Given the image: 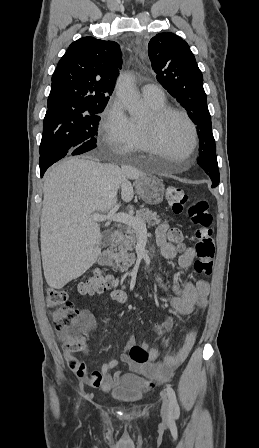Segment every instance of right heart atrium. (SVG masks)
<instances>
[{
	"label": "right heart atrium",
	"instance_id": "1",
	"mask_svg": "<svg viewBox=\"0 0 259 448\" xmlns=\"http://www.w3.org/2000/svg\"><path fill=\"white\" fill-rule=\"evenodd\" d=\"M98 143L104 152H113V157H127L134 152L135 133L118 98L112 99L98 128Z\"/></svg>",
	"mask_w": 259,
	"mask_h": 448
}]
</instances>
